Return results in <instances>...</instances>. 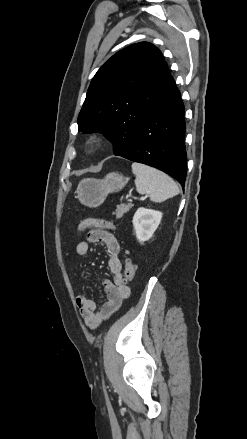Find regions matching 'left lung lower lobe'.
<instances>
[{"instance_id": "left-lung-lower-lobe-1", "label": "left lung lower lobe", "mask_w": 247, "mask_h": 439, "mask_svg": "<svg viewBox=\"0 0 247 439\" xmlns=\"http://www.w3.org/2000/svg\"><path fill=\"white\" fill-rule=\"evenodd\" d=\"M184 133V106L176 87L142 120L131 146L118 156L158 168L184 186Z\"/></svg>"}]
</instances>
